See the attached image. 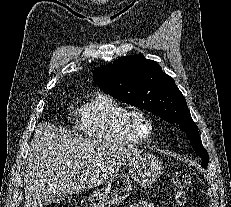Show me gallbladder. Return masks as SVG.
<instances>
[{"instance_id":"gallbladder-1","label":"gallbladder","mask_w":231,"mask_h":207,"mask_svg":"<svg viewBox=\"0 0 231 207\" xmlns=\"http://www.w3.org/2000/svg\"><path fill=\"white\" fill-rule=\"evenodd\" d=\"M46 201H47L48 203H52V202L56 201V197H55L54 195H50V196H48V197L46 198Z\"/></svg>"}]
</instances>
